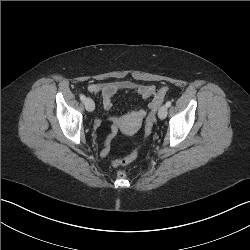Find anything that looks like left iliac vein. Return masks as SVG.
I'll list each match as a JSON object with an SVG mask.
<instances>
[{
	"label": "left iliac vein",
	"mask_w": 250,
	"mask_h": 250,
	"mask_svg": "<svg viewBox=\"0 0 250 250\" xmlns=\"http://www.w3.org/2000/svg\"><path fill=\"white\" fill-rule=\"evenodd\" d=\"M167 107L164 105L162 107H160L159 111H158V117L160 119H165L167 116Z\"/></svg>",
	"instance_id": "obj_1"
}]
</instances>
